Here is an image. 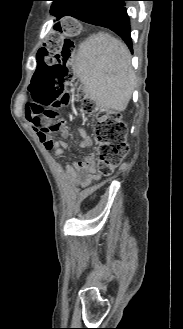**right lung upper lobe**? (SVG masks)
<instances>
[{
	"label": "right lung upper lobe",
	"instance_id": "cb5924a9",
	"mask_svg": "<svg viewBox=\"0 0 183 329\" xmlns=\"http://www.w3.org/2000/svg\"><path fill=\"white\" fill-rule=\"evenodd\" d=\"M52 1H53V4H54V2L59 1V0H52ZM53 4H52V6H53ZM51 14L54 15V13H52V12H51ZM54 16H55V15H54Z\"/></svg>",
	"mask_w": 183,
	"mask_h": 329
}]
</instances>
